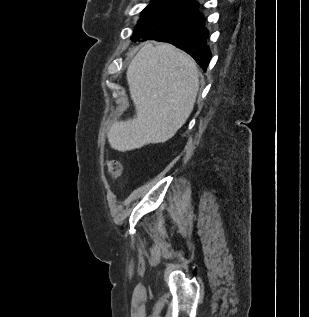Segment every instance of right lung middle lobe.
Listing matches in <instances>:
<instances>
[{
  "mask_svg": "<svg viewBox=\"0 0 309 317\" xmlns=\"http://www.w3.org/2000/svg\"><path fill=\"white\" fill-rule=\"evenodd\" d=\"M176 0H153L143 11L141 17L144 18L147 15L151 14L152 12L163 8Z\"/></svg>",
  "mask_w": 309,
  "mask_h": 317,
  "instance_id": "obj_1",
  "label": "right lung middle lobe"
}]
</instances>
